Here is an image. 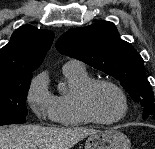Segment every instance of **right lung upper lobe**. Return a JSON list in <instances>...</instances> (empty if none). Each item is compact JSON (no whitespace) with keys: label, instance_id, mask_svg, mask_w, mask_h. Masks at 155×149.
Listing matches in <instances>:
<instances>
[{"label":"right lung upper lobe","instance_id":"right-lung-upper-lobe-1","mask_svg":"<svg viewBox=\"0 0 155 149\" xmlns=\"http://www.w3.org/2000/svg\"><path fill=\"white\" fill-rule=\"evenodd\" d=\"M54 33L23 25L0 49V77L31 74L43 62L52 45Z\"/></svg>","mask_w":155,"mask_h":149}]
</instances>
